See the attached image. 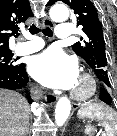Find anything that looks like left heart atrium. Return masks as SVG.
<instances>
[{
    "label": "left heart atrium",
    "instance_id": "39dd6f15",
    "mask_svg": "<svg viewBox=\"0 0 117 136\" xmlns=\"http://www.w3.org/2000/svg\"><path fill=\"white\" fill-rule=\"evenodd\" d=\"M30 74L50 88L69 89L78 80L76 60L59 48H49L34 56L29 64Z\"/></svg>",
    "mask_w": 117,
    "mask_h": 136
}]
</instances>
